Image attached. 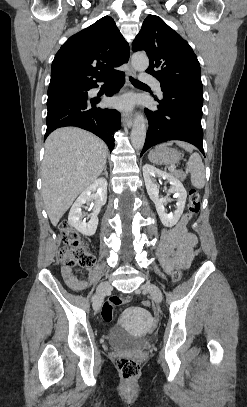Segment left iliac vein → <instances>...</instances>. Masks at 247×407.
I'll list each match as a JSON object with an SVG mask.
<instances>
[{"mask_svg":"<svg viewBox=\"0 0 247 407\" xmlns=\"http://www.w3.org/2000/svg\"><path fill=\"white\" fill-rule=\"evenodd\" d=\"M142 290L149 293L157 303L162 301L161 290L155 284L147 282L142 286Z\"/></svg>","mask_w":247,"mask_h":407,"instance_id":"4c4485c4","label":"left iliac vein"}]
</instances>
